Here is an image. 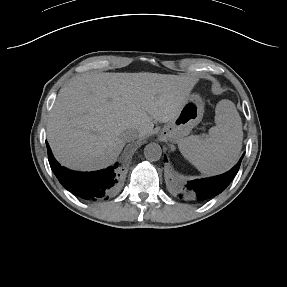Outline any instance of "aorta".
<instances>
[{
  "instance_id": "1",
  "label": "aorta",
  "mask_w": 287,
  "mask_h": 287,
  "mask_svg": "<svg viewBox=\"0 0 287 287\" xmlns=\"http://www.w3.org/2000/svg\"><path fill=\"white\" fill-rule=\"evenodd\" d=\"M144 156L149 161H158L162 156V149L157 143H149L144 148Z\"/></svg>"
}]
</instances>
